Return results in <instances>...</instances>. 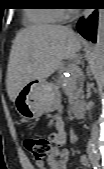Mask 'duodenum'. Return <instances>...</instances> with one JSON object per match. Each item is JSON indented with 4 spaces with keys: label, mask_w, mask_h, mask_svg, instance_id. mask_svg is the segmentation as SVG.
I'll return each mask as SVG.
<instances>
[{
    "label": "duodenum",
    "mask_w": 104,
    "mask_h": 169,
    "mask_svg": "<svg viewBox=\"0 0 104 169\" xmlns=\"http://www.w3.org/2000/svg\"><path fill=\"white\" fill-rule=\"evenodd\" d=\"M84 112H85V105L83 102H77L74 104L73 113L75 118L79 119L83 117Z\"/></svg>",
    "instance_id": "1"
}]
</instances>
